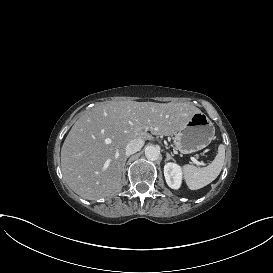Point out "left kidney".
I'll return each mask as SVG.
<instances>
[{"label":"left kidney","instance_id":"left-kidney-1","mask_svg":"<svg viewBox=\"0 0 273 273\" xmlns=\"http://www.w3.org/2000/svg\"><path fill=\"white\" fill-rule=\"evenodd\" d=\"M166 183L172 189H179L182 181L181 167L175 163H167L164 166Z\"/></svg>","mask_w":273,"mask_h":273}]
</instances>
